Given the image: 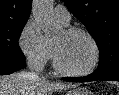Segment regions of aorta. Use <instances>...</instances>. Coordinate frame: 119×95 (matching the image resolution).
<instances>
[{"label": "aorta", "instance_id": "762f6f07", "mask_svg": "<svg viewBox=\"0 0 119 95\" xmlns=\"http://www.w3.org/2000/svg\"><path fill=\"white\" fill-rule=\"evenodd\" d=\"M32 13L47 39L54 37L62 28L53 14V0H34Z\"/></svg>", "mask_w": 119, "mask_h": 95}]
</instances>
